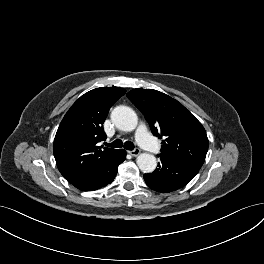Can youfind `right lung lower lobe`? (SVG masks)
I'll return each mask as SVG.
<instances>
[{
	"label": "right lung lower lobe",
	"instance_id": "1",
	"mask_svg": "<svg viewBox=\"0 0 264 264\" xmlns=\"http://www.w3.org/2000/svg\"><path fill=\"white\" fill-rule=\"evenodd\" d=\"M123 149L111 155L92 169L68 180L73 186L83 191L96 190L111 183L116 176L118 166L125 160Z\"/></svg>",
	"mask_w": 264,
	"mask_h": 264
}]
</instances>
